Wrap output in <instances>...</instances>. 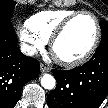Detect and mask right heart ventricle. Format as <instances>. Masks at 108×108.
I'll return each instance as SVG.
<instances>
[{
    "label": "right heart ventricle",
    "mask_w": 108,
    "mask_h": 108,
    "mask_svg": "<svg viewBox=\"0 0 108 108\" xmlns=\"http://www.w3.org/2000/svg\"><path fill=\"white\" fill-rule=\"evenodd\" d=\"M76 12L78 11L69 9L43 10L32 15L27 26L34 34L48 42L59 25Z\"/></svg>",
    "instance_id": "e07e8e85"
}]
</instances>
